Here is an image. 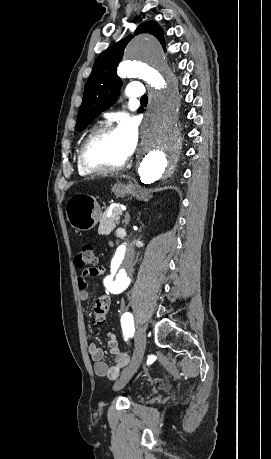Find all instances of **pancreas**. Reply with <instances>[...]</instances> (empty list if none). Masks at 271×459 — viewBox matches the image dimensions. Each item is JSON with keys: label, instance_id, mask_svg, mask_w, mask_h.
I'll use <instances>...</instances> for the list:
<instances>
[{"label": "pancreas", "instance_id": "cf45deb5", "mask_svg": "<svg viewBox=\"0 0 271 459\" xmlns=\"http://www.w3.org/2000/svg\"><path fill=\"white\" fill-rule=\"evenodd\" d=\"M121 212L122 210H120V208H114V210H112L110 218H107V212H105L104 216H102L100 220L98 233H105V235H108V233H110L112 229L116 228V224H118V222L116 221L115 217L116 214L121 215Z\"/></svg>", "mask_w": 271, "mask_h": 459}]
</instances>
